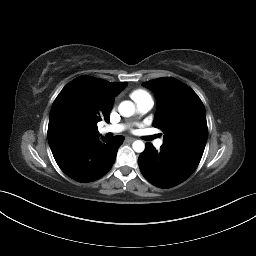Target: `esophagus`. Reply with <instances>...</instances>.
Wrapping results in <instances>:
<instances>
[{
    "mask_svg": "<svg viewBox=\"0 0 256 256\" xmlns=\"http://www.w3.org/2000/svg\"><path fill=\"white\" fill-rule=\"evenodd\" d=\"M125 140H126V142H133L135 140V138L127 137Z\"/></svg>",
    "mask_w": 256,
    "mask_h": 256,
    "instance_id": "obj_1",
    "label": "esophagus"
}]
</instances>
